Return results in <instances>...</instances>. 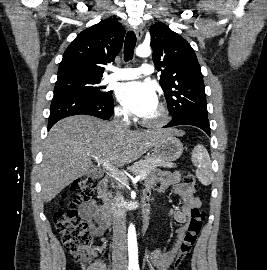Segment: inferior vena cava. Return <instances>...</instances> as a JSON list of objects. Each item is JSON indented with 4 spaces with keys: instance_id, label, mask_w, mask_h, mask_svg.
<instances>
[{
    "instance_id": "obj_1",
    "label": "inferior vena cava",
    "mask_w": 267,
    "mask_h": 270,
    "mask_svg": "<svg viewBox=\"0 0 267 270\" xmlns=\"http://www.w3.org/2000/svg\"><path fill=\"white\" fill-rule=\"evenodd\" d=\"M113 125L118 128L128 129L129 121L124 113H119L114 117ZM110 211L114 216L113 220V237L117 250L116 261L122 265L126 264V226H125V210L122 204V197L117 196L111 200Z\"/></svg>"
}]
</instances>
